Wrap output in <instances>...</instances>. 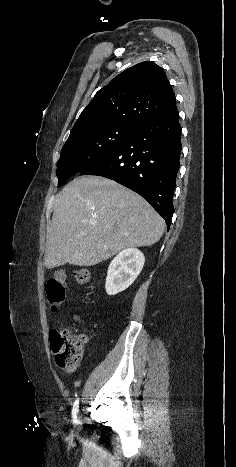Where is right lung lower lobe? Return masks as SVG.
Instances as JSON below:
<instances>
[{
  "mask_svg": "<svg viewBox=\"0 0 236 467\" xmlns=\"http://www.w3.org/2000/svg\"><path fill=\"white\" fill-rule=\"evenodd\" d=\"M181 152L177 107L139 127L114 151L80 172L112 179L140 194L170 227Z\"/></svg>",
  "mask_w": 236,
  "mask_h": 467,
  "instance_id": "1",
  "label": "right lung lower lobe"
}]
</instances>
